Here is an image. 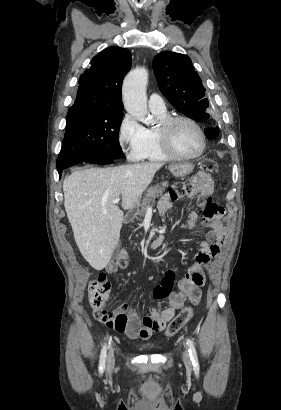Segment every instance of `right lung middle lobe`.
<instances>
[{"label":"right lung middle lobe","instance_id":"obj_1","mask_svg":"<svg viewBox=\"0 0 281 410\" xmlns=\"http://www.w3.org/2000/svg\"><path fill=\"white\" fill-rule=\"evenodd\" d=\"M122 111L79 105L69 108L57 169L78 159H116Z\"/></svg>","mask_w":281,"mask_h":410}]
</instances>
